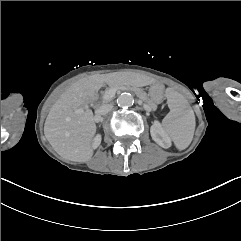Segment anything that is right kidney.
I'll return each instance as SVG.
<instances>
[{
	"instance_id": "1",
	"label": "right kidney",
	"mask_w": 241,
	"mask_h": 241,
	"mask_svg": "<svg viewBox=\"0 0 241 241\" xmlns=\"http://www.w3.org/2000/svg\"><path fill=\"white\" fill-rule=\"evenodd\" d=\"M101 140H102L101 135L97 134L92 141V148L96 149L100 145Z\"/></svg>"
}]
</instances>
